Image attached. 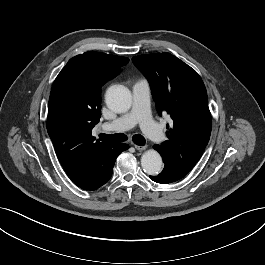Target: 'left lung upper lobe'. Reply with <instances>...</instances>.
I'll return each mask as SVG.
<instances>
[{"label":"left lung upper lobe","mask_w":265,"mask_h":265,"mask_svg":"<svg viewBox=\"0 0 265 265\" xmlns=\"http://www.w3.org/2000/svg\"><path fill=\"white\" fill-rule=\"evenodd\" d=\"M148 79L157 110L173 120L168 140L157 145L165 167L184 177L197 163L211 134V113L204 83L198 73L169 53L132 58Z\"/></svg>","instance_id":"1"}]
</instances>
